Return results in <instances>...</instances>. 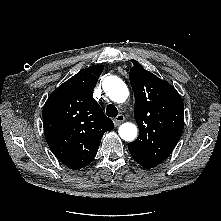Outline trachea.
<instances>
[{"label":"trachea","mask_w":221,"mask_h":221,"mask_svg":"<svg viewBox=\"0 0 221 221\" xmlns=\"http://www.w3.org/2000/svg\"><path fill=\"white\" fill-rule=\"evenodd\" d=\"M106 114L107 116L109 117H115L118 115V110L117 108L112 105V104H109L107 107H106Z\"/></svg>","instance_id":"1"}]
</instances>
